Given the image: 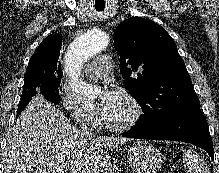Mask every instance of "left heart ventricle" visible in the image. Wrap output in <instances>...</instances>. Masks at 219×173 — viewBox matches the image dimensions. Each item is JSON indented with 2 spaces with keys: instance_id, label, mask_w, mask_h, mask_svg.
<instances>
[{
  "instance_id": "1",
  "label": "left heart ventricle",
  "mask_w": 219,
  "mask_h": 173,
  "mask_svg": "<svg viewBox=\"0 0 219 173\" xmlns=\"http://www.w3.org/2000/svg\"><path fill=\"white\" fill-rule=\"evenodd\" d=\"M132 114L130 104L120 95L117 94L114 103L104 117V121L109 123H122Z\"/></svg>"
}]
</instances>
